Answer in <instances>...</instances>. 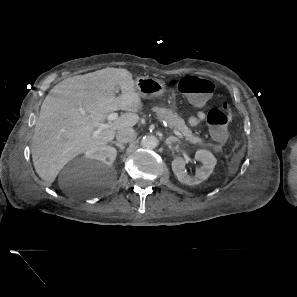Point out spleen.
<instances>
[{"label": "spleen", "instance_id": "3e777b00", "mask_svg": "<svg viewBox=\"0 0 297 297\" xmlns=\"http://www.w3.org/2000/svg\"><path fill=\"white\" fill-rule=\"evenodd\" d=\"M229 173H232L234 171V168L232 166H229Z\"/></svg>", "mask_w": 297, "mask_h": 297}]
</instances>
